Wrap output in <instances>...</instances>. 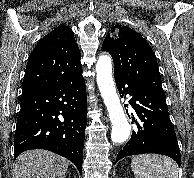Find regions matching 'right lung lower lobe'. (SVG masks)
<instances>
[{"instance_id":"right-lung-lower-lobe-1","label":"right lung lower lobe","mask_w":194,"mask_h":178,"mask_svg":"<svg viewBox=\"0 0 194 178\" xmlns=\"http://www.w3.org/2000/svg\"><path fill=\"white\" fill-rule=\"evenodd\" d=\"M83 77L21 97L14 137V159L30 149H46L72 161L82 172L87 124Z\"/></svg>"}]
</instances>
